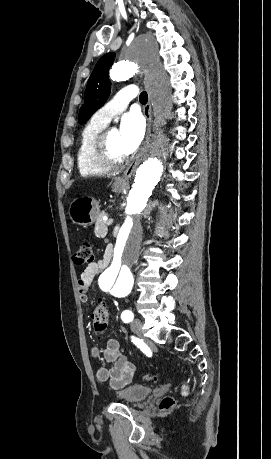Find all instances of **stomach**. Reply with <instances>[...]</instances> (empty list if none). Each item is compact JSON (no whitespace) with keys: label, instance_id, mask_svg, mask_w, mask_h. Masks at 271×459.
I'll list each match as a JSON object with an SVG mask.
<instances>
[{"label":"stomach","instance_id":"obj_1","mask_svg":"<svg viewBox=\"0 0 271 459\" xmlns=\"http://www.w3.org/2000/svg\"><path fill=\"white\" fill-rule=\"evenodd\" d=\"M125 190V186H112V192L120 194ZM99 206L96 200L93 198H88V196H83V198H76L73 200L69 206V216L73 224H78V226H92L96 222L99 216Z\"/></svg>","mask_w":271,"mask_h":459}]
</instances>
